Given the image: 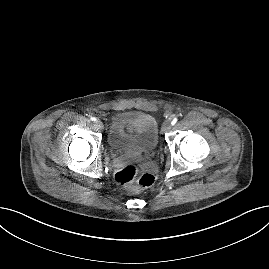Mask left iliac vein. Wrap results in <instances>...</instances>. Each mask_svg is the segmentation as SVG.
Returning <instances> with one entry per match:
<instances>
[{
    "instance_id": "4c4485c4",
    "label": "left iliac vein",
    "mask_w": 269,
    "mask_h": 269,
    "mask_svg": "<svg viewBox=\"0 0 269 269\" xmlns=\"http://www.w3.org/2000/svg\"><path fill=\"white\" fill-rule=\"evenodd\" d=\"M171 129V124L169 122H165L162 126V132H168Z\"/></svg>"
}]
</instances>
